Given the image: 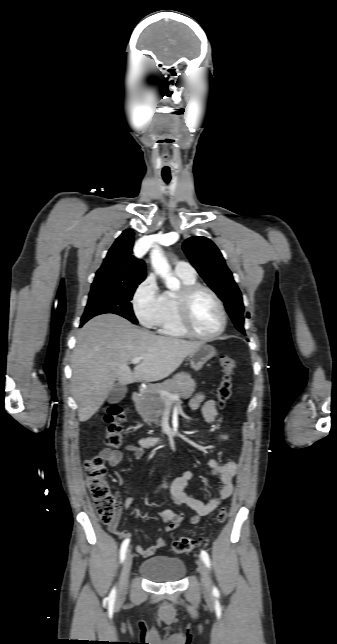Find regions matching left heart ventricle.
I'll list each match as a JSON object with an SVG mask.
<instances>
[{
	"label": "left heart ventricle",
	"mask_w": 337,
	"mask_h": 644,
	"mask_svg": "<svg viewBox=\"0 0 337 644\" xmlns=\"http://www.w3.org/2000/svg\"><path fill=\"white\" fill-rule=\"evenodd\" d=\"M191 322L195 331L208 336L221 325V313L215 300L205 291L199 292L192 301Z\"/></svg>",
	"instance_id": "left-heart-ventricle-1"
}]
</instances>
